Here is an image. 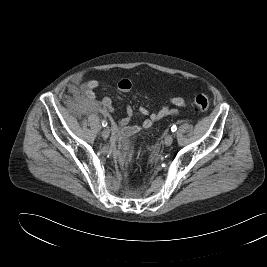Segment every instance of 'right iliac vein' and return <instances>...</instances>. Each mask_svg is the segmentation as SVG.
Wrapping results in <instances>:
<instances>
[{
  "mask_svg": "<svg viewBox=\"0 0 267 267\" xmlns=\"http://www.w3.org/2000/svg\"><path fill=\"white\" fill-rule=\"evenodd\" d=\"M101 134H102L103 139H107L109 137L110 130L108 128H105L103 129Z\"/></svg>",
  "mask_w": 267,
  "mask_h": 267,
  "instance_id": "63e3f726",
  "label": "right iliac vein"
}]
</instances>
